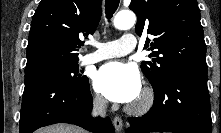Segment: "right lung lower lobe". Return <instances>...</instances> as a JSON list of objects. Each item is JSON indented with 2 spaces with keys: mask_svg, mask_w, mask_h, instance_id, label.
Returning a JSON list of instances; mask_svg holds the SVG:
<instances>
[{
  "mask_svg": "<svg viewBox=\"0 0 221 133\" xmlns=\"http://www.w3.org/2000/svg\"><path fill=\"white\" fill-rule=\"evenodd\" d=\"M89 80L73 85L51 72L25 74L20 133L55 124L71 123L96 133H114L111 120L92 118Z\"/></svg>",
  "mask_w": 221,
  "mask_h": 133,
  "instance_id": "1",
  "label": "right lung lower lobe"
}]
</instances>
